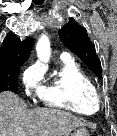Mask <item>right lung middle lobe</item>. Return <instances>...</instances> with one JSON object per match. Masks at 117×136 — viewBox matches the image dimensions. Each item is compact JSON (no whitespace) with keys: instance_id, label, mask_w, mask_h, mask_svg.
I'll use <instances>...</instances> for the list:
<instances>
[{"instance_id":"1","label":"right lung middle lobe","mask_w":117,"mask_h":136,"mask_svg":"<svg viewBox=\"0 0 117 136\" xmlns=\"http://www.w3.org/2000/svg\"><path fill=\"white\" fill-rule=\"evenodd\" d=\"M19 66L10 65L0 67V92L12 91L17 93Z\"/></svg>"}]
</instances>
